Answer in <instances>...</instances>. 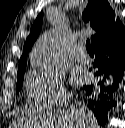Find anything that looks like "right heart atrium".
I'll use <instances>...</instances> for the list:
<instances>
[{
	"label": "right heart atrium",
	"instance_id": "d8ad5b80",
	"mask_svg": "<svg viewBox=\"0 0 125 128\" xmlns=\"http://www.w3.org/2000/svg\"><path fill=\"white\" fill-rule=\"evenodd\" d=\"M26 91L32 106L39 110H52L67 98L60 77L53 72L30 71L26 79Z\"/></svg>",
	"mask_w": 125,
	"mask_h": 128
}]
</instances>
